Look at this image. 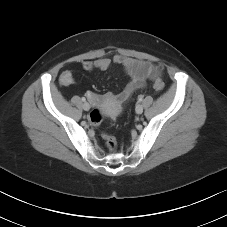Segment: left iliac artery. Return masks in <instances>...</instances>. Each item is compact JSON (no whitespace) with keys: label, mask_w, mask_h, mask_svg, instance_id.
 Returning a JSON list of instances; mask_svg holds the SVG:
<instances>
[{"label":"left iliac artery","mask_w":227,"mask_h":227,"mask_svg":"<svg viewBox=\"0 0 227 227\" xmlns=\"http://www.w3.org/2000/svg\"><path fill=\"white\" fill-rule=\"evenodd\" d=\"M138 100H139V102H141L143 100V97L140 96Z\"/></svg>","instance_id":"obj_1"}]
</instances>
